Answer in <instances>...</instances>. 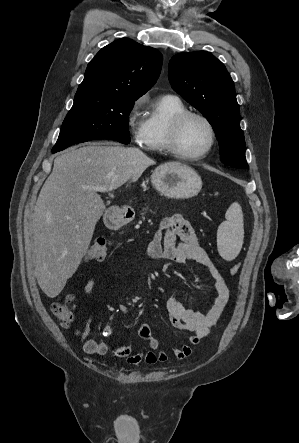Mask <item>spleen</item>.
Masks as SVG:
<instances>
[{
	"label": "spleen",
	"mask_w": 299,
	"mask_h": 443,
	"mask_svg": "<svg viewBox=\"0 0 299 443\" xmlns=\"http://www.w3.org/2000/svg\"><path fill=\"white\" fill-rule=\"evenodd\" d=\"M226 221L222 222L217 231V247L220 256L231 261L235 259L243 245L244 228L241 206L234 202L225 214Z\"/></svg>",
	"instance_id": "spleen-1"
}]
</instances>
